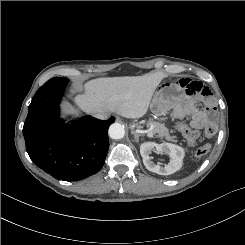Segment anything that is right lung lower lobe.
I'll list each match as a JSON object with an SVG mask.
<instances>
[{"label":"right lung lower lobe","mask_w":245,"mask_h":245,"mask_svg":"<svg viewBox=\"0 0 245 245\" xmlns=\"http://www.w3.org/2000/svg\"><path fill=\"white\" fill-rule=\"evenodd\" d=\"M68 79H50L34 95L24 123L31 160L58 180L78 181L97 173L109 148L108 128L115 121L84 116L71 125L58 117Z\"/></svg>","instance_id":"98d812e1"}]
</instances>
